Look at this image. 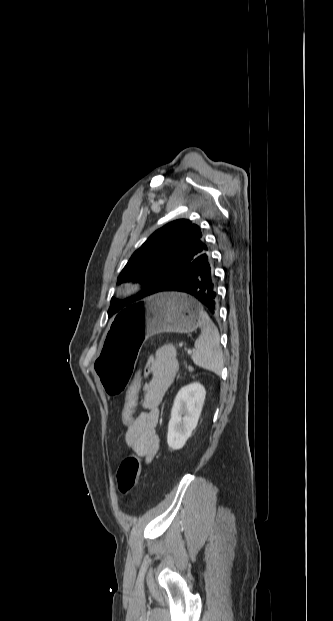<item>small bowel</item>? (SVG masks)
Listing matches in <instances>:
<instances>
[{"instance_id":"small-bowel-1","label":"small bowel","mask_w":333,"mask_h":621,"mask_svg":"<svg viewBox=\"0 0 333 621\" xmlns=\"http://www.w3.org/2000/svg\"><path fill=\"white\" fill-rule=\"evenodd\" d=\"M177 372L178 363L173 348L170 346L159 348L150 360L143 384L141 412L133 423L127 425L126 444L146 463L152 461L159 449L160 439L156 431L159 406Z\"/></svg>"}]
</instances>
